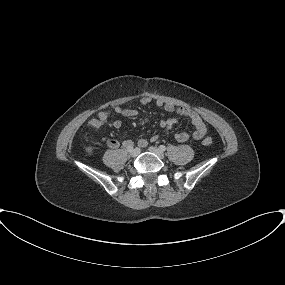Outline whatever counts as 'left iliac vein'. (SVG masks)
<instances>
[{
	"mask_svg": "<svg viewBox=\"0 0 285 285\" xmlns=\"http://www.w3.org/2000/svg\"><path fill=\"white\" fill-rule=\"evenodd\" d=\"M148 150L150 151V152H152V153H154L155 155H157L159 158H161V159H163L164 158V153H163V151H161L159 148H157V147H154V146H150L149 148H148Z\"/></svg>",
	"mask_w": 285,
	"mask_h": 285,
	"instance_id": "left-iliac-vein-1",
	"label": "left iliac vein"
}]
</instances>
